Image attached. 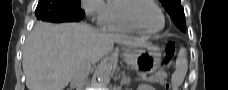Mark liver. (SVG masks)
I'll list each match as a JSON object with an SVG mask.
<instances>
[{"instance_id":"liver-1","label":"liver","mask_w":228,"mask_h":90,"mask_svg":"<svg viewBox=\"0 0 228 90\" xmlns=\"http://www.w3.org/2000/svg\"><path fill=\"white\" fill-rule=\"evenodd\" d=\"M147 37L98 32L85 23L39 22L26 38L22 66L28 90H64L76 66L89 58L97 63L114 43L143 47Z\"/></svg>"}]
</instances>
